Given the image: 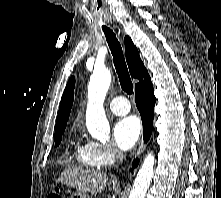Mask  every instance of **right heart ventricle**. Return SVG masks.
I'll return each mask as SVG.
<instances>
[{
  "label": "right heart ventricle",
  "instance_id": "right-heart-ventricle-1",
  "mask_svg": "<svg viewBox=\"0 0 221 198\" xmlns=\"http://www.w3.org/2000/svg\"><path fill=\"white\" fill-rule=\"evenodd\" d=\"M74 155L77 162L83 167L93 168L97 166L93 157L91 142L84 143L80 139L76 140L74 143Z\"/></svg>",
  "mask_w": 221,
  "mask_h": 198
}]
</instances>
